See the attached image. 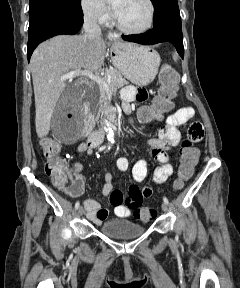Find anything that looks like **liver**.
Masks as SVG:
<instances>
[{
    "mask_svg": "<svg viewBox=\"0 0 240 288\" xmlns=\"http://www.w3.org/2000/svg\"><path fill=\"white\" fill-rule=\"evenodd\" d=\"M105 42L85 35H58L33 52L30 67L35 97V126L39 138L48 135L52 113L67 84L62 75L77 69L97 72L104 63Z\"/></svg>",
    "mask_w": 240,
    "mask_h": 288,
    "instance_id": "6515ba94",
    "label": "liver"
}]
</instances>
